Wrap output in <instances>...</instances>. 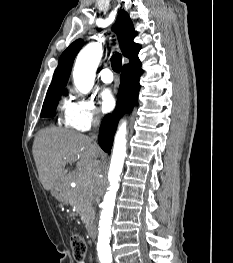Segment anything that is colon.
I'll use <instances>...</instances> for the list:
<instances>
[{"label": "colon", "mask_w": 233, "mask_h": 263, "mask_svg": "<svg viewBox=\"0 0 233 263\" xmlns=\"http://www.w3.org/2000/svg\"><path fill=\"white\" fill-rule=\"evenodd\" d=\"M70 243L74 259L77 262L83 260L87 253V245L83 237L79 234H72L70 236Z\"/></svg>", "instance_id": "obj_1"}]
</instances>
